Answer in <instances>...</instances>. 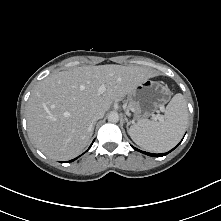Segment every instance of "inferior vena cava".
<instances>
[{
  "mask_svg": "<svg viewBox=\"0 0 221 221\" xmlns=\"http://www.w3.org/2000/svg\"><path fill=\"white\" fill-rule=\"evenodd\" d=\"M103 116H104V111L99 110V111L94 113V115L92 117V121L96 122L97 120L103 118Z\"/></svg>",
  "mask_w": 221,
  "mask_h": 221,
  "instance_id": "602c4592",
  "label": "inferior vena cava"
}]
</instances>
